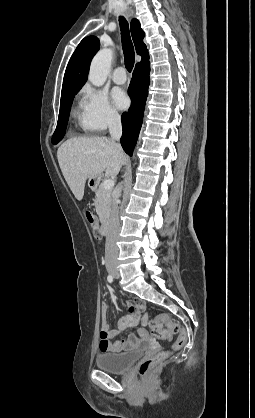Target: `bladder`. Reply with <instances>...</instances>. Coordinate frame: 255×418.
Wrapping results in <instances>:
<instances>
[{
    "label": "bladder",
    "instance_id": "obj_1",
    "mask_svg": "<svg viewBox=\"0 0 255 418\" xmlns=\"http://www.w3.org/2000/svg\"><path fill=\"white\" fill-rule=\"evenodd\" d=\"M142 355V351L135 349L120 353H102L96 357V366L106 372L123 373Z\"/></svg>",
    "mask_w": 255,
    "mask_h": 418
}]
</instances>
